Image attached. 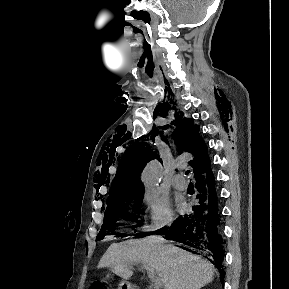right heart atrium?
<instances>
[{"instance_id":"obj_1","label":"right heart atrium","mask_w":289,"mask_h":289,"mask_svg":"<svg viewBox=\"0 0 289 289\" xmlns=\"http://www.w3.org/2000/svg\"><path fill=\"white\" fill-rule=\"evenodd\" d=\"M143 204L147 212V222L142 227L144 231L154 232L169 226L174 214L166 194L159 190H148L143 196Z\"/></svg>"}]
</instances>
